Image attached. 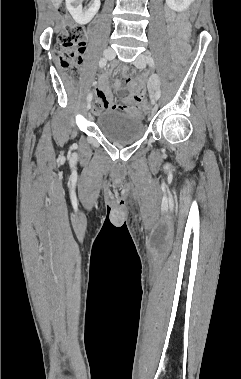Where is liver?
I'll list each match as a JSON object with an SVG mask.
<instances>
[{"label":"liver","instance_id":"1","mask_svg":"<svg viewBox=\"0 0 241 379\" xmlns=\"http://www.w3.org/2000/svg\"><path fill=\"white\" fill-rule=\"evenodd\" d=\"M62 2V0H52V3L55 7H58L60 5V3Z\"/></svg>","mask_w":241,"mask_h":379}]
</instances>
